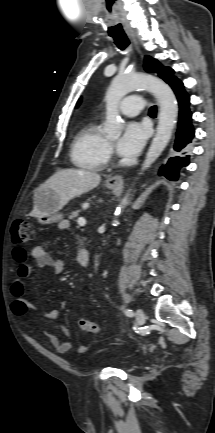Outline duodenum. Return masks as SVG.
<instances>
[{
  "instance_id": "410a0bca",
  "label": "duodenum",
  "mask_w": 215,
  "mask_h": 433,
  "mask_svg": "<svg viewBox=\"0 0 215 433\" xmlns=\"http://www.w3.org/2000/svg\"><path fill=\"white\" fill-rule=\"evenodd\" d=\"M78 261L83 267H85V268L89 267V265H90V253H89V251L82 247L79 251Z\"/></svg>"
}]
</instances>
